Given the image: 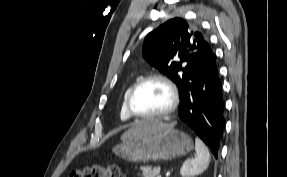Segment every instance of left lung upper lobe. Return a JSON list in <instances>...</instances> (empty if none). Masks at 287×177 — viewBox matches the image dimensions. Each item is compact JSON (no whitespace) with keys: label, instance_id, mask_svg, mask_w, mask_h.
Returning <instances> with one entry per match:
<instances>
[{"label":"left lung upper lobe","instance_id":"obj_1","mask_svg":"<svg viewBox=\"0 0 287 177\" xmlns=\"http://www.w3.org/2000/svg\"><path fill=\"white\" fill-rule=\"evenodd\" d=\"M142 50L148 63L170 78L180 94L212 53L202 34L181 18L168 20L150 32Z\"/></svg>","mask_w":287,"mask_h":177}]
</instances>
